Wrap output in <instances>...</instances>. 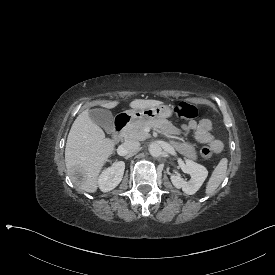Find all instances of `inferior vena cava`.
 Segmentation results:
<instances>
[{
    "label": "inferior vena cava",
    "mask_w": 275,
    "mask_h": 275,
    "mask_svg": "<svg viewBox=\"0 0 275 275\" xmlns=\"http://www.w3.org/2000/svg\"><path fill=\"white\" fill-rule=\"evenodd\" d=\"M139 147L140 143L136 140H127L121 145V148L126 154L136 153Z\"/></svg>",
    "instance_id": "602c4592"
}]
</instances>
